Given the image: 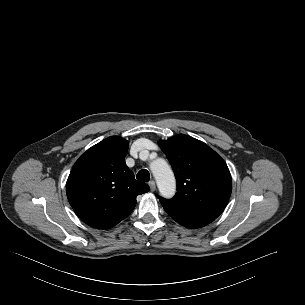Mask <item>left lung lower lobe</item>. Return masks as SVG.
I'll list each match as a JSON object with an SVG mask.
<instances>
[{"instance_id": "0a47b994", "label": "left lung lower lobe", "mask_w": 305, "mask_h": 305, "mask_svg": "<svg viewBox=\"0 0 305 305\" xmlns=\"http://www.w3.org/2000/svg\"><path fill=\"white\" fill-rule=\"evenodd\" d=\"M176 222L188 228H199L211 223L214 219H194L171 216Z\"/></svg>"}]
</instances>
